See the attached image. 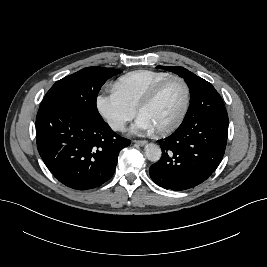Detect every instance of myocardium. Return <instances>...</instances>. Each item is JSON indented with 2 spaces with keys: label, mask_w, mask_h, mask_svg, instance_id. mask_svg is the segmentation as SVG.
<instances>
[{
  "label": "myocardium",
  "mask_w": 267,
  "mask_h": 267,
  "mask_svg": "<svg viewBox=\"0 0 267 267\" xmlns=\"http://www.w3.org/2000/svg\"><path fill=\"white\" fill-rule=\"evenodd\" d=\"M172 80H177L179 81L183 87H184V92H185V97H184V104L182 107V110L179 114V116L177 117V119L171 123L168 126L159 128L155 130V133L158 135H166L169 134L173 131H175L184 121L188 109H189V105H190V97H191V92H190V87L187 83V81L178 75H170L164 79H162L161 81H159L158 83H156L150 90L149 92L144 96V98L140 101V103L137 106V113L140 115V112L147 107L148 105H150L158 96V94L160 93V91L162 90V88L170 81Z\"/></svg>",
  "instance_id": "1"
}]
</instances>
